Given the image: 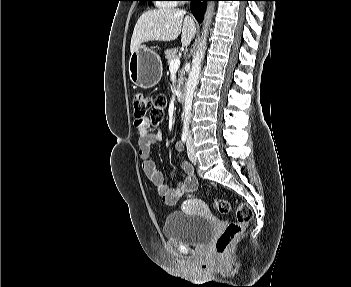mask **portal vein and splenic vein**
<instances>
[{
  "label": "portal vein and splenic vein",
  "mask_w": 351,
  "mask_h": 287,
  "mask_svg": "<svg viewBox=\"0 0 351 287\" xmlns=\"http://www.w3.org/2000/svg\"><path fill=\"white\" fill-rule=\"evenodd\" d=\"M180 66V59L179 58H175L170 62V69H177Z\"/></svg>",
  "instance_id": "portal-vein-and-splenic-vein-1"
}]
</instances>
